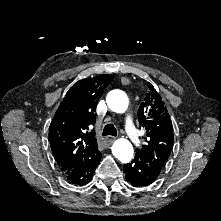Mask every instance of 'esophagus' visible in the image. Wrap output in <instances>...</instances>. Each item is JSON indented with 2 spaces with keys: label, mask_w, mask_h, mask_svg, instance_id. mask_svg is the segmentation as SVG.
Listing matches in <instances>:
<instances>
[{
  "label": "esophagus",
  "mask_w": 221,
  "mask_h": 221,
  "mask_svg": "<svg viewBox=\"0 0 221 221\" xmlns=\"http://www.w3.org/2000/svg\"><path fill=\"white\" fill-rule=\"evenodd\" d=\"M115 137H112V136H107L105 138V141L108 143V144H112L114 141H115Z\"/></svg>",
  "instance_id": "34e87169"
}]
</instances>
